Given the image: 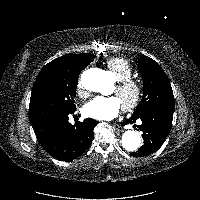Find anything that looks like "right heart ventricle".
I'll list each match as a JSON object with an SVG mask.
<instances>
[{
	"instance_id": "1",
	"label": "right heart ventricle",
	"mask_w": 200,
	"mask_h": 200,
	"mask_svg": "<svg viewBox=\"0 0 200 200\" xmlns=\"http://www.w3.org/2000/svg\"><path fill=\"white\" fill-rule=\"evenodd\" d=\"M106 65L118 81L131 78L133 75L132 65L123 57H112L107 60Z\"/></svg>"
}]
</instances>
